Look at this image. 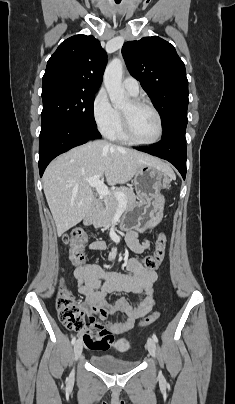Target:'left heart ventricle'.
<instances>
[{
    "label": "left heart ventricle",
    "instance_id": "obj_1",
    "mask_svg": "<svg viewBox=\"0 0 235 404\" xmlns=\"http://www.w3.org/2000/svg\"><path fill=\"white\" fill-rule=\"evenodd\" d=\"M121 111L130 118L131 131L139 141H152L158 134V121L155 114L146 107L133 108L129 102Z\"/></svg>",
    "mask_w": 235,
    "mask_h": 404
}]
</instances>
